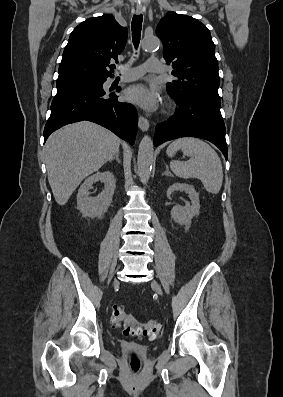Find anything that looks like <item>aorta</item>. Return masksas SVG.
<instances>
[{
	"instance_id": "1",
	"label": "aorta",
	"mask_w": 283,
	"mask_h": 397,
	"mask_svg": "<svg viewBox=\"0 0 283 397\" xmlns=\"http://www.w3.org/2000/svg\"><path fill=\"white\" fill-rule=\"evenodd\" d=\"M159 43L160 41L157 37H147L143 40L142 48L145 51H151L156 49ZM153 154V141L148 135H145L139 144L137 157L138 173L143 184H146L150 178Z\"/></svg>"
}]
</instances>
